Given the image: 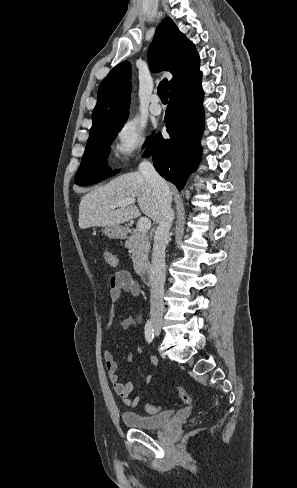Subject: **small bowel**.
Segmentation results:
<instances>
[{"label":"small bowel","mask_w":297,"mask_h":488,"mask_svg":"<svg viewBox=\"0 0 297 488\" xmlns=\"http://www.w3.org/2000/svg\"><path fill=\"white\" fill-rule=\"evenodd\" d=\"M103 259L108 266L117 265V256L112 252H105L103 254ZM112 260V261H111ZM113 288L109 291V300L111 303H116L123 292L130 293L133 296H139L141 287L140 285L132 279L130 274L126 271L117 272L114 276ZM142 320L141 314H138L135 318L126 317L121 321V327L124 330L134 329ZM134 356L133 350L130 351L127 360L132 362ZM103 359L105 367L107 370L109 381L113 387L114 392L121 398L123 403L130 407H135L140 400V396L131 397V392L133 389L132 383L130 381H122L118 376V364L114 359L113 353L109 350L104 351ZM149 363L152 367L158 365V360L156 357H151ZM152 380L151 375H147L144 379L146 384H149Z\"/></svg>","instance_id":"1"}]
</instances>
